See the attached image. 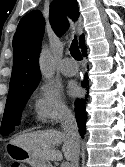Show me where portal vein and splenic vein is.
<instances>
[{
    "label": "portal vein and splenic vein",
    "mask_w": 125,
    "mask_h": 167,
    "mask_svg": "<svg viewBox=\"0 0 125 167\" xmlns=\"http://www.w3.org/2000/svg\"><path fill=\"white\" fill-rule=\"evenodd\" d=\"M61 167H70V164L68 162L62 163Z\"/></svg>",
    "instance_id": "obj_1"
}]
</instances>
